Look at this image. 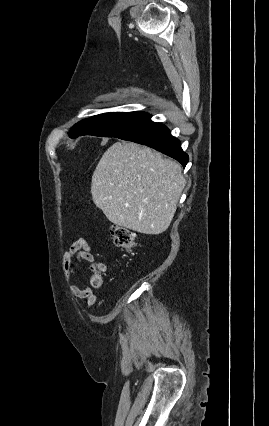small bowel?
<instances>
[{"label": "small bowel", "instance_id": "c3829d8e", "mask_svg": "<svg viewBox=\"0 0 269 426\" xmlns=\"http://www.w3.org/2000/svg\"><path fill=\"white\" fill-rule=\"evenodd\" d=\"M82 261L89 263L90 270L97 267L99 269L105 268L102 263L96 261L88 242L84 238L76 239L70 244L63 257V270L68 281H77L76 268ZM94 288L95 286H84L75 283L70 286V291L75 298L85 300L86 306L91 308L97 300Z\"/></svg>", "mask_w": 269, "mask_h": 426}]
</instances>
